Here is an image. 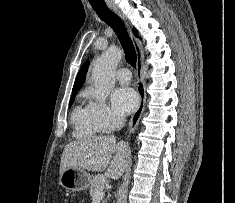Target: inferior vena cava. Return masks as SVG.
Here are the masks:
<instances>
[{"instance_id":"602c4592","label":"inferior vena cava","mask_w":235,"mask_h":203,"mask_svg":"<svg viewBox=\"0 0 235 203\" xmlns=\"http://www.w3.org/2000/svg\"><path fill=\"white\" fill-rule=\"evenodd\" d=\"M125 123V119L123 116H117L116 118V127L118 129L122 128L124 126Z\"/></svg>"}]
</instances>
